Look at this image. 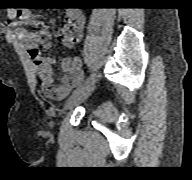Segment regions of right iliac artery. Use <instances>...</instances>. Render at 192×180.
I'll return each mask as SVG.
<instances>
[{"instance_id":"82829eb1","label":"right iliac artery","mask_w":192,"mask_h":180,"mask_svg":"<svg viewBox=\"0 0 192 180\" xmlns=\"http://www.w3.org/2000/svg\"><path fill=\"white\" fill-rule=\"evenodd\" d=\"M94 79H95V74L93 73V74H91V75L85 80V82H84L82 85H80L79 87H77V88L74 90L73 94H75L76 92L80 91L81 89H83V88L86 87L87 85L93 83V82H94Z\"/></svg>"}]
</instances>
